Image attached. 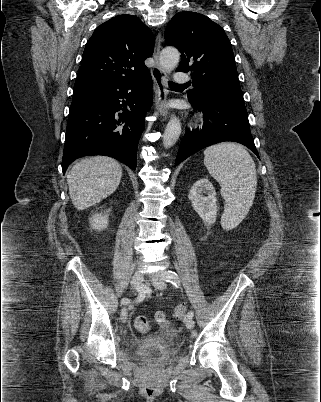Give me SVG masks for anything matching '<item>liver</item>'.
Wrapping results in <instances>:
<instances>
[{
  "instance_id": "liver-1",
  "label": "liver",
  "mask_w": 321,
  "mask_h": 402,
  "mask_svg": "<svg viewBox=\"0 0 321 402\" xmlns=\"http://www.w3.org/2000/svg\"><path fill=\"white\" fill-rule=\"evenodd\" d=\"M122 177L121 165L114 159L95 156L80 160L67 175L71 201L84 210L112 194Z\"/></svg>"
}]
</instances>
